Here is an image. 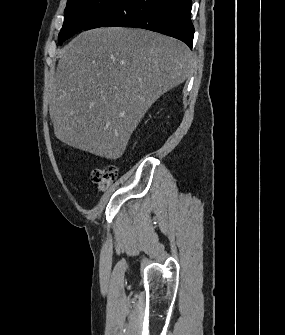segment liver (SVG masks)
I'll list each match as a JSON object with an SVG mask.
<instances>
[{
  "instance_id": "obj_1",
  "label": "liver",
  "mask_w": 285,
  "mask_h": 335,
  "mask_svg": "<svg viewBox=\"0 0 285 335\" xmlns=\"http://www.w3.org/2000/svg\"><path fill=\"white\" fill-rule=\"evenodd\" d=\"M50 118L58 140L117 160L152 104L187 80L185 44L147 30L97 28L58 52Z\"/></svg>"
}]
</instances>
